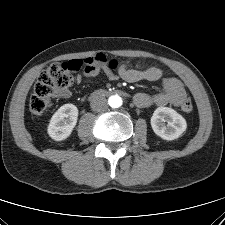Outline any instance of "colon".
Masks as SVG:
<instances>
[{
	"instance_id": "obj_1",
	"label": "colon",
	"mask_w": 225,
	"mask_h": 225,
	"mask_svg": "<svg viewBox=\"0 0 225 225\" xmlns=\"http://www.w3.org/2000/svg\"><path fill=\"white\" fill-rule=\"evenodd\" d=\"M100 56L101 54H97L85 60L52 63L41 73L34 85L33 95L29 102L31 112L40 115L47 111L51 106V98L71 86L73 73L79 71L82 67H85V70H90L98 62ZM116 64L115 60L109 61L112 68H115ZM180 107L184 112H191L193 109L191 99L186 97Z\"/></svg>"
}]
</instances>
